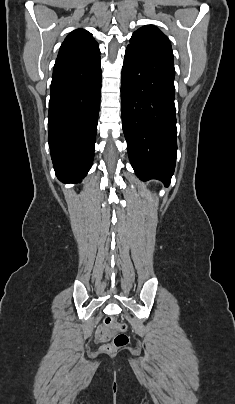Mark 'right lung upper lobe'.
I'll return each instance as SVG.
<instances>
[{"label":"right lung upper lobe","mask_w":235,"mask_h":404,"mask_svg":"<svg viewBox=\"0 0 235 404\" xmlns=\"http://www.w3.org/2000/svg\"><path fill=\"white\" fill-rule=\"evenodd\" d=\"M100 57L98 43L84 29L72 31L62 43L55 66L83 63Z\"/></svg>","instance_id":"cb5924a9"}]
</instances>
